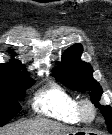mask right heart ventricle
Returning <instances> with one entry per match:
<instances>
[{
  "instance_id": "1",
  "label": "right heart ventricle",
  "mask_w": 112,
  "mask_h": 135,
  "mask_svg": "<svg viewBox=\"0 0 112 135\" xmlns=\"http://www.w3.org/2000/svg\"><path fill=\"white\" fill-rule=\"evenodd\" d=\"M33 107L36 112L69 125L82 122L78 115V99L56 84L37 92Z\"/></svg>"
}]
</instances>
